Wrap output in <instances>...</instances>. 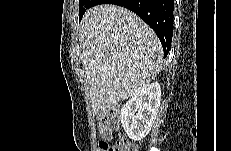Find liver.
<instances>
[{
	"label": "liver",
	"instance_id": "obj_1",
	"mask_svg": "<svg viewBox=\"0 0 231 151\" xmlns=\"http://www.w3.org/2000/svg\"><path fill=\"white\" fill-rule=\"evenodd\" d=\"M79 42L94 113L133 97L162 68L163 51L155 32L120 6L88 9L81 20Z\"/></svg>",
	"mask_w": 231,
	"mask_h": 151
}]
</instances>
